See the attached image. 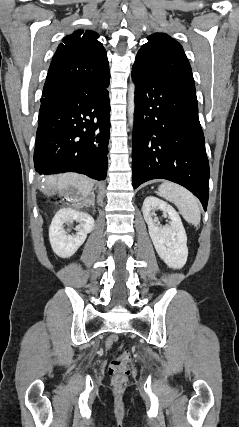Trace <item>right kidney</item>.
I'll list each match as a JSON object with an SVG mask.
<instances>
[{
  "instance_id": "1",
  "label": "right kidney",
  "mask_w": 239,
  "mask_h": 427,
  "mask_svg": "<svg viewBox=\"0 0 239 427\" xmlns=\"http://www.w3.org/2000/svg\"><path fill=\"white\" fill-rule=\"evenodd\" d=\"M77 222V234L69 235L64 230V224ZM94 229V219L88 213L71 208L60 209L54 216L49 228V240L55 254L68 258L75 254L85 242L87 234Z\"/></svg>"
}]
</instances>
